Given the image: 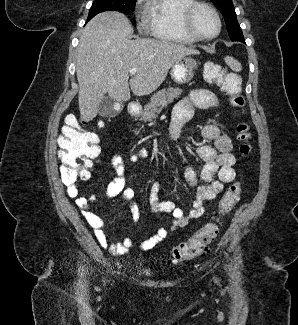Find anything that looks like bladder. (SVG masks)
Here are the masks:
<instances>
[{"mask_svg": "<svg viewBox=\"0 0 298 325\" xmlns=\"http://www.w3.org/2000/svg\"><path fill=\"white\" fill-rule=\"evenodd\" d=\"M135 273L139 276H144V277L153 276V272L150 269L142 267V266H136Z\"/></svg>", "mask_w": 298, "mask_h": 325, "instance_id": "1", "label": "bladder"}]
</instances>
